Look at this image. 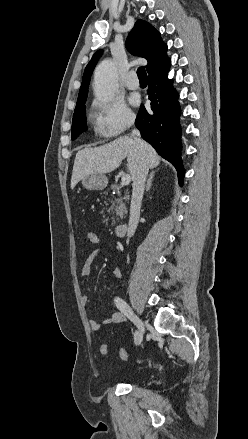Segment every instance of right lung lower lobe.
<instances>
[{"label":"right lung lower lobe","mask_w":248,"mask_h":439,"mask_svg":"<svg viewBox=\"0 0 248 439\" xmlns=\"http://www.w3.org/2000/svg\"><path fill=\"white\" fill-rule=\"evenodd\" d=\"M170 62L149 73L148 98L151 108L141 105L135 124L142 138L149 142L178 171L182 184L184 170L181 160V127L178 94L168 79Z\"/></svg>","instance_id":"1"}]
</instances>
